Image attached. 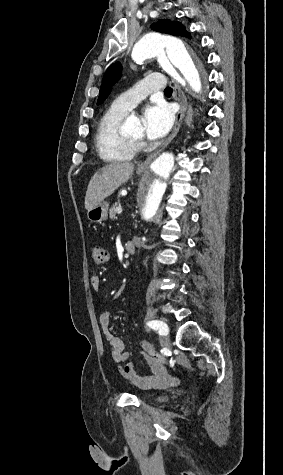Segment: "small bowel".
<instances>
[{"mask_svg": "<svg viewBox=\"0 0 283 475\" xmlns=\"http://www.w3.org/2000/svg\"><path fill=\"white\" fill-rule=\"evenodd\" d=\"M90 285L93 290L98 291L101 287V279L98 275L90 277ZM99 324L107 342L111 347V357L115 363H126L121 369L122 375L138 386L163 385L172 383L175 378L172 377L165 366L162 369H150L151 375L140 376L135 371V362L131 360V353L125 349V343L119 336L112 333L110 327V314L108 311H102L99 316Z\"/></svg>", "mask_w": 283, "mask_h": 475, "instance_id": "obj_1", "label": "small bowel"}]
</instances>
